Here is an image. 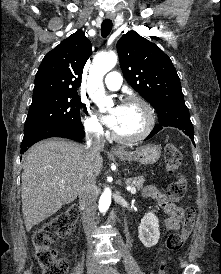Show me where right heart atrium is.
<instances>
[{"label":"right heart atrium","mask_w":221,"mask_h":274,"mask_svg":"<svg viewBox=\"0 0 221 274\" xmlns=\"http://www.w3.org/2000/svg\"><path fill=\"white\" fill-rule=\"evenodd\" d=\"M83 126L89 136L100 138L104 133L100 120L91 113L87 106L84 108Z\"/></svg>","instance_id":"right-heart-atrium-1"}]
</instances>
